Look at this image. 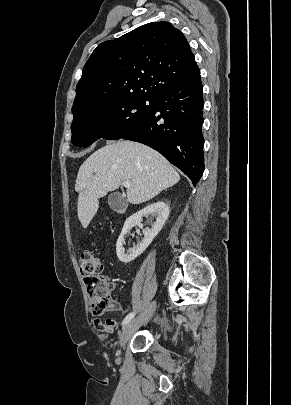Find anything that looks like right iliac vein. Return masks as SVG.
I'll use <instances>...</instances> for the list:
<instances>
[{
    "mask_svg": "<svg viewBox=\"0 0 291 405\" xmlns=\"http://www.w3.org/2000/svg\"><path fill=\"white\" fill-rule=\"evenodd\" d=\"M156 307L155 301H153L148 308L143 311L138 317L130 321L126 324V326L122 329L119 336V344L120 347L124 346V344L129 340L132 334L144 323L149 319V317L153 314Z\"/></svg>",
    "mask_w": 291,
    "mask_h": 405,
    "instance_id": "right-iliac-vein-1",
    "label": "right iliac vein"
}]
</instances>
